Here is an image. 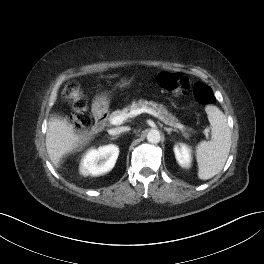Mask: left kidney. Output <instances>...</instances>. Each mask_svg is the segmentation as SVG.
Segmentation results:
<instances>
[{"instance_id": "obj_1", "label": "left kidney", "mask_w": 264, "mask_h": 264, "mask_svg": "<svg viewBox=\"0 0 264 264\" xmlns=\"http://www.w3.org/2000/svg\"><path fill=\"white\" fill-rule=\"evenodd\" d=\"M190 148L183 144H177L174 147L175 158L181 167L188 168L191 163Z\"/></svg>"}]
</instances>
